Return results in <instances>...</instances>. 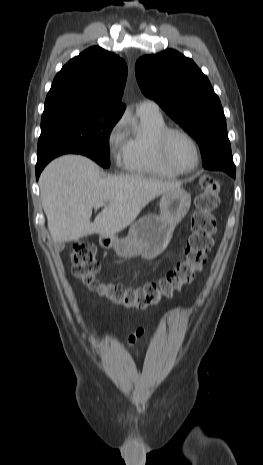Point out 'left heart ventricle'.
Here are the masks:
<instances>
[{
  "mask_svg": "<svg viewBox=\"0 0 263 465\" xmlns=\"http://www.w3.org/2000/svg\"><path fill=\"white\" fill-rule=\"evenodd\" d=\"M169 157L176 166L190 169L196 160L194 146L186 137L173 135L169 143Z\"/></svg>",
  "mask_w": 263,
  "mask_h": 465,
  "instance_id": "1",
  "label": "left heart ventricle"
}]
</instances>
